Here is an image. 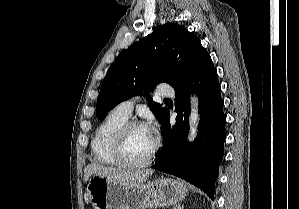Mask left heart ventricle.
I'll return each instance as SVG.
<instances>
[{
  "label": "left heart ventricle",
  "instance_id": "left-heart-ventricle-1",
  "mask_svg": "<svg viewBox=\"0 0 299 209\" xmlns=\"http://www.w3.org/2000/svg\"><path fill=\"white\" fill-rule=\"evenodd\" d=\"M153 144L154 137L147 128H133L126 136L124 156L130 162H141L149 155Z\"/></svg>",
  "mask_w": 299,
  "mask_h": 209
}]
</instances>
